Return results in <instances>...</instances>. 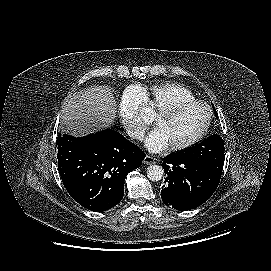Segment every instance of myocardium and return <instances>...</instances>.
<instances>
[{
	"label": "myocardium",
	"mask_w": 271,
	"mask_h": 271,
	"mask_svg": "<svg viewBox=\"0 0 271 271\" xmlns=\"http://www.w3.org/2000/svg\"><path fill=\"white\" fill-rule=\"evenodd\" d=\"M193 106H202L207 110V113H208L207 121L204 127L201 129V131L189 141L179 144V145L169 146L171 151L178 152V151L187 150L193 147L194 145H196L197 143H199L206 136V134L208 133L211 127V124L213 121V111L207 103L199 101V100H191V101L175 103L173 105H170L168 107H165L157 111V115H156L157 118L169 117Z\"/></svg>",
	"instance_id": "1"
}]
</instances>
